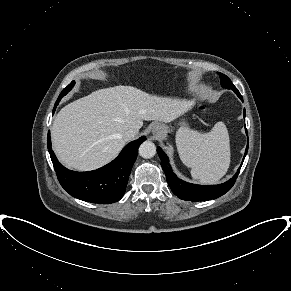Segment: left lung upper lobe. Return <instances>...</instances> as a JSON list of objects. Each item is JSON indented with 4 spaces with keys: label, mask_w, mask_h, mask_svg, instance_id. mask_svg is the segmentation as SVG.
<instances>
[{
    "label": "left lung upper lobe",
    "mask_w": 291,
    "mask_h": 291,
    "mask_svg": "<svg viewBox=\"0 0 291 291\" xmlns=\"http://www.w3.org/2000/svg\"><path fill=\"white\" fill-rule=\"evenodd\" d=\"M221 85L226 89H232L236 94H240L237 88L233 85L231 80L224 74L219 73Z\"/></svg>",
    "instance_id": "obj_1"
}]
</instances>
